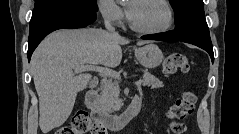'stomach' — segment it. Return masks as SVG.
I'll return each mask as SVG.
<instances>
[{"label": "stomach", "mask_w": 239, "mask_h": 134, "mask_svg": "<svg viewBox=\"0 0 239 134\" xmlns=\"http://www.w3.org/2000/svg\"><path fill=\"white\" fill-rule=\"evenodd\" d=\"M135 56L142 66L153 69L159 66L163 60V53L160 48L153 43L135 49Z\"/></svg>", "instance_id": "0dacf381"}]
</instances>
